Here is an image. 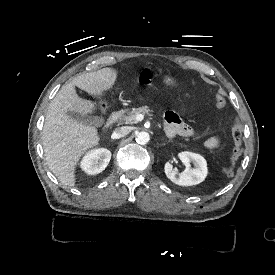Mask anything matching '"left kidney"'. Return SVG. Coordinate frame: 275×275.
<instances>
[{
	"instance_id": "obj_1",
	"label": "left kidney",
	"mask_w": 275,
	"mask_h": 275,
	"mask_svg": "<svg viewBox=\"0 0 275 275\" xmlns=\"http://www.w3.org/2000/svg\"><path fill=\"white\" fill-rule=\"evenodd\" d=\"M177 157L187 166L186 170L179 175L173 170L172 164L167 161L164 166L165 175L172 183L180 186H192L201 183L207 175V167L205 159L199 154L188 151L177 153ZM191 162L194 168H191Z\"/></svg>"
}]
</instances>
